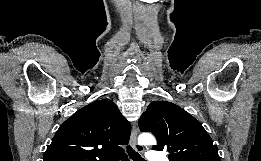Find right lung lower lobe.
Returning <instances> with one entry per match:
<instances>
[{"label":"right lung lower lobe","mask_w":261,"mask_h":161,"mask_svg":"<svg viewBox=\"0 0 261 161\" xmlns=\"http://www.w3.org/2000/svg\"><path fill=\"white\" fill-rule=\"evenodd\" d=\"M120 158H122L123 161H128L126 155H124V156H122ZM117 160H118V157H116L113 161H117Z\"/></svg>","instance_id":"right-lung-lower-lobe-1"}]
</instances>
